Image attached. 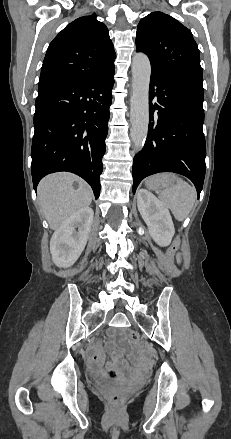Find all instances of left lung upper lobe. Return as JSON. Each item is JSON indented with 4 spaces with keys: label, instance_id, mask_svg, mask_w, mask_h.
<instances>
[{
    "label": "left lung upper lobe",
    "instance_id": "5c2ea615",
    "mask_svg": "<svg viewBox=\"0 0 231 439\" xmlns=\"http://www.w3.org/2000/svg\"><path fill=\"white\" fill-rule=\"evenodd\" d=\"M137 52H144L152 73L186 76L202 80L199 49L191 31L173 17L153 12L140 20Z\"/></svg>",
    "mask_w": 231,
    "mask_h": 439
}]
</instances>
